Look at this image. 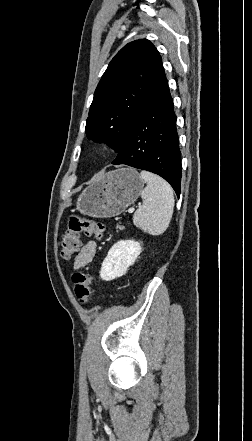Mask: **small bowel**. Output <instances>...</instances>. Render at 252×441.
Segmentation results:
<instances>
[{"instance_id": "obj_1", "label": "small bowel", "mask_w": 252, "mask_h": 441, "mask_svg": "<svg viewBox=\"0 0 252 441\" xmlns=\"http://www.w3.org/2000/svg\"><path fill=\"white\" fill-rule=\"evenodd\" d=\"M97 250V243L93 240L86 242L74 258L73 269L79 270L87 266L94 258Z\"/></svg>"}]
</instances>
